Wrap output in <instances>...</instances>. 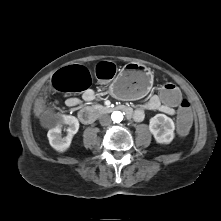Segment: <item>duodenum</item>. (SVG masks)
<instances>
[{
  "label": "duodenum",
  "instance_id": "duodenum-1",
  "mask_svg": "<svg viewBox=\"0 0 221 221\" xmlns=\"http://www.w3.org/2000/svg\"><path fill=\"white\" fill-rule=\"evenodd\" d=\"M113 110H119L124 112L128 117L133 115V110L126 105H118L116 107H109L103 110L94 109L92 107H85L78 113L79 120L83 124L93 123L102 112H112Z\"/></svg>",
  "mask_w": 221,
  "mask_h": 221
}]
</instances>
